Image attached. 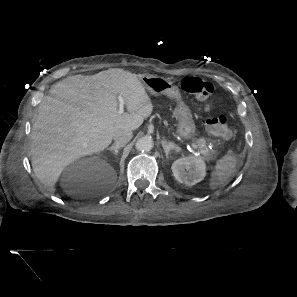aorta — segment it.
Wrapping results in <instances>:
<instances>
[{"instance_id": "1", "label": "aorta", "mask_w": 297, "mask_h": 297, "mask_svg": "<svg viewBox=\"0 0 297 297\" xmlns=\"http://www.w3.org/2000/svg\"><path fill=\"white\" fill-rule=\"evenodd\" d=\"M135 148L142 152L150 151L153 148V140L151 137L144 136L137 140Z\"/></svg>"}]
</instances>
